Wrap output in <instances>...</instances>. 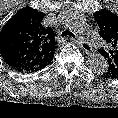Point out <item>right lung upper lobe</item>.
<instances>
[{
	"label": "right lung upper lobe",
	"instance_id": "right-lung-upper-lobe-1",
	"mask_svg": "<svg viewBox=\"0 0 118 118\" xmlns=\"http://www.w3.org/2000/svg\"><path fill=\"white\" fill-rule=\"evenodd\" d=\"M45 14L25 7L0 31V54L13 69L33 72L51 63L56 50L55 34L45 27Z\"/></svg>",
	"mask_w": 118,
	"mask_h": 118
}]
</instances>
